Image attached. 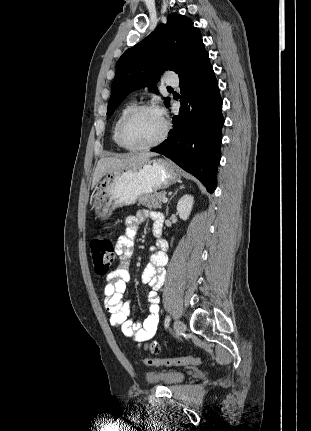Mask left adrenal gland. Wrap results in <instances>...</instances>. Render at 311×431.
Listing matches in <instances>:
<instances>
[{"label":"left adrenal gland","instance_id":"left-adrenal-gland-1","mask_svg":"<svg viewBox=\"0 0 311 431\" xmlns=\"http://www.w3.org/2000/svg\"><path fill=\"white\" fill-rule=\"evenodd\" d=\"M184 186H179V190H183ZM178 190H175L173 196H171L170 200H173L174 196H176ZM169 204L170 202H168L167 206H166V216H168V210H169Z\"/></svg>","mask_w":311,"mask_h":431}]
</instances>
